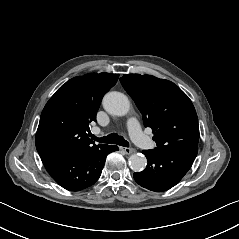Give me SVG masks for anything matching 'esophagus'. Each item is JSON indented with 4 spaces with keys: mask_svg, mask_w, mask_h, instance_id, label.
<instances>
[{
    "mask_svg": "<svg viewBox=\"0 0 239 239\" xmlns=\"http://www.w3.org/2000/svg\"><path fill=\"white\" fill-rule=\"evenodd\" d=\"M120 149L128 155L134 152V150L132 148L120 147Z\"/></svg>",
    "mask_w": 239,
    "mask_h": 239,
    "instance_id": "esophagus-1",
    "label": "esophagus"
}]
</instances>
